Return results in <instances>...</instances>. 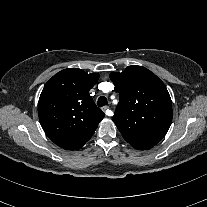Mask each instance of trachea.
I'll return each instance as SVG.
<instances>
[{
    "label": "trachea",
    "mask_w": 207,
    "mask_h": 207,
    "mask_svg": "<svg viewBox=\"0 0 207 207\" xmlns=\"http://www.w3.org/2000/svg\"><path fill=\"white\" fill-rule=\"evenodd\" d=\"M107 103H108V101H107L106 97L101 96L98 98L97 105L99 107L105 106V105H107Z\"/></svg>",
    "instance_id": "1"
}]
</instances>
